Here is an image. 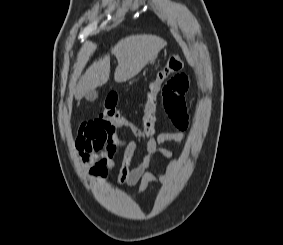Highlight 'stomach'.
<instances>
[{
  "mask_svg": "<svg viewBox=\"0 0 283 245\" xmlns=\"http://www.w3.org/2000/svg\"><path fill=\"white\" fill-rule=\"evenodd\" d=\"M156 59H157V55L154 56V57L149 61V63H150V64H154L155 61H156Z\"/></svg>",
  "mask_w": 283,
  "mask_h": 245,
  "instance_id": "stomach-1",
  "label": "stomach"
}]
</instances>
